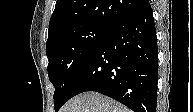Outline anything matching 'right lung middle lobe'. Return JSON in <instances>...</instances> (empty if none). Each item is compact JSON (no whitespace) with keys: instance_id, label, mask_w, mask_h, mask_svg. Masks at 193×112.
<instances>
[{"instance_id":"dd1d6c3e","label":"right lung middle lobe","mask_w":193,"mask_h":112,"mask_svg":"<svg viewBox=\"0 0 193 112\" xmlns=\"http://www.w3.org/2000/svg\"><path fill=\"white\" fill-rule=\"evenodd\" d=\"M109 29L96 23H80L60 30L47 41L48 76L55 87V111L67 101L78 71Z\"/></svg>"}]
</instances>
